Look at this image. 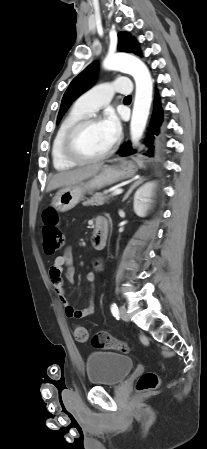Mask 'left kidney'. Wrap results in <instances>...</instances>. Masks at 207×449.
Wrapping results in <instances>:
<instances>
[{"mask_svg":"<svg viewBox=\"0 0 207 449\" xmlns=\"http://www.w3.org/2000/svg\"><path fill=\"white\" fill-rule=\"evenodd\" d=\"M154 186L155 184L152 182L145 183L134 195V211L140 217H144L147 213L149 204L146 202H149Z\"/></svg>","mask_w":207,"mask_h":449,"instance_id":"5707ae66","label":"left kidney"}]
</instances>
